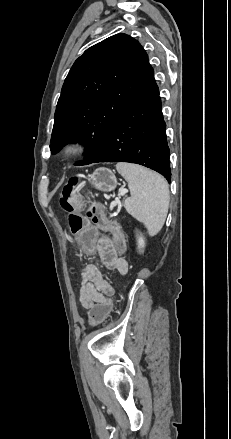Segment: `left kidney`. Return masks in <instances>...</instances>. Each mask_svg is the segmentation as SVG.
<instances>
[{"label":"left kidney","instance_id":"5707ae66","mask_svg":"<svg viewBox=\"0 0 231 439\" xmlns=\"http://www.w3.org/2000/svg\"><path fill=\"white\" fill-rule=\"evenodd\" d=\"M137 245L140 251H142V249L145 247V240L141 234L140 236L137 235Z\"/></svg>","mask_w":231,"mask_h":439}]
</instances>
